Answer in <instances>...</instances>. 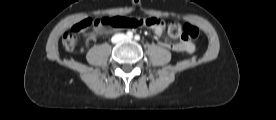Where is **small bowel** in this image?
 <instances>
[{
    "label": "small bowel",
    "instance_id": "1",
    "mask_svg": "<svg viewBox=\"0 0 276 120\" xmlns=\"http://www.w3.org/2000/svg\"><path fill=\"white\" fill-rule=\"evenodd\" d=\"M153 29L157 35H161L164 31V24L162 23L161 25L154 27ZM97 35H98V31L92 32L91 35L89 36V40H95ZM160 45L162 47L169 48L177 52H186L188 54L193 53L195 50V46L191 42H185V41L181 43H176V44L160 42Z\"/></svg>",
    "mask_w": 276,
    "mask_h": 120
}]
</instances>
